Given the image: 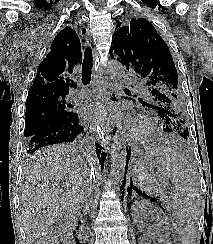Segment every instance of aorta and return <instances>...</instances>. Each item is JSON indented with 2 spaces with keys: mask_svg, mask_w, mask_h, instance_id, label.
Wrapping results in <instances>:
<instances>
[{
  "mask_svg": "<svg viewBox=\"0 0 213 244\" xmlns=\"http://www.w3.org/2000/svg\"><path fill=\"white\" fill-rule=\"evenodd\" d=\"M107 70L113 79L115 87L123 88L122 77L124 75V67L116 60H111L107 64ZM113 149L111 152V165H110V180L113 189L119 190L125 174L126 156H127V142L125 139L124 131L122 130L121 123H118L117 130L113 139Z\"/></svg>",
  "mask_w": 213,
  "mask_h": 244,
  "instance_id": "obj_1",
  "label": "aorta"
}]
</instances>
